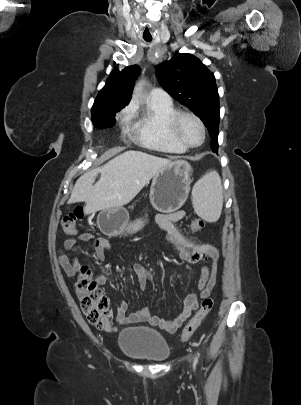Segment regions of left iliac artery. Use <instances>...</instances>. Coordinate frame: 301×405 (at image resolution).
<instances>
[{"label":"left iliac artery","instance_id":"1","mask_svg":"<svg viewBox=\"0 0 301 405\" xmlns=\"http://www.w3.org/2000/svg\"><path fill=\"white\" fill-rule=\"evenodd\" d=\"M198 362V358L197 357H195V363H197Z\"/></svg>","mask_w":301,"mask_h":405}]
</instances>
